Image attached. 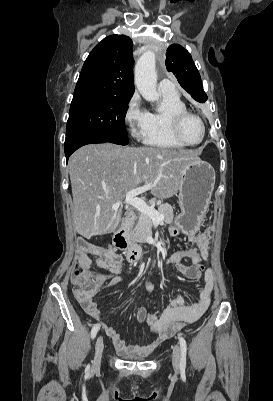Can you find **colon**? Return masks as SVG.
<instances>
[{
	"mask_svg": "<svg viewBox=\"0 0 273 401\" xmlns=\"http://www.w3.org/2000/svg\"><path fill=\"white\" fill-rule=\"evenodd\" d=\"M81 257H75L73 264L76 266L73 269V278L70 279V286L74 287L73 295L75 297H87L89 293H101V284H94L93 278H90V270H93V261H87L86 250L80 251ZM154 285L149 283L145 286V289L149 292L154 290Z\"/></svg>",
	"mask_w": 273,
	"mask_h": 401,
	"instance_id": "obj_1",
	"label": "colon"
}]
</instances>
